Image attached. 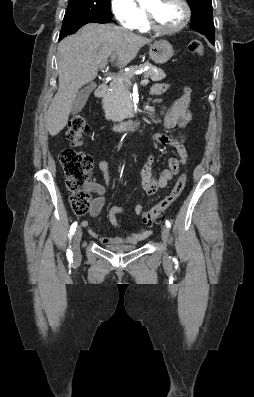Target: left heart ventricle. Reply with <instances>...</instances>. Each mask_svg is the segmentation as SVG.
<instances>
[{"mask_svg": "<svg viewBox=\"0 0 254 397\" xmlns=\"http://www.w3.org/2000/svg\"><path fill=\"white\" fill-rule=\"evenodd\" d=\"M154 16V19L162 28H173L183 18V8L177 0H151L146 7Z\"/></svg>", "mask_w": 254, "mask_h": 397, "instance_id": "b2bd125f", "label": "left heart ventricle"}]
</instances>
